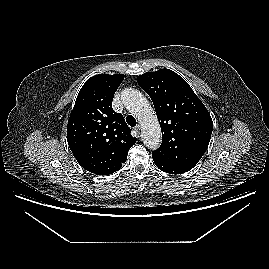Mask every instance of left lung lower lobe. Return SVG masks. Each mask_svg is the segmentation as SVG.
Here are the masks:
<instances>
[{
    "mask_svg": "<svg viewBox=\"0 0 269 269\" xmlns=\"http://www.w3.org/2000/svg\"><path fill=\"white\" fill-rule=\"evenodd\" d=\"M156 166L166 172V173H170V174H181V173H184V172H187L189 171L191 168H187V167H176V166H171V165H168V164H165L161 161H159L158 159L156 158H153Z\"/></svg>",
    "mask_w": 269,
    "mask_h": 269,
    "instance_id": "1",
    "label": "left lung lower lobe"
}]
</instances>
